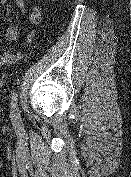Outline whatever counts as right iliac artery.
<instances>
[{
    "mask_svg": "<svg viewBox=\"0 0 131 177\" xmlns=\"http://www.w3.org/2000/svg\"><path fill=\"white\" fill-rule=\"evenodd\" d=\"M11 113L13 117H18L17 93H14L11 100Z\"/></svg>",
    "mask_w": 131,
    "mask_h": 177,
    "instance_id": "82829eb1",
    "label": "right iliac artery"
}]
</instances>
